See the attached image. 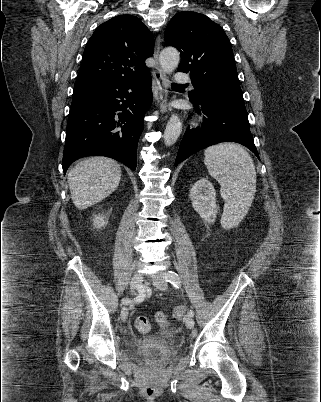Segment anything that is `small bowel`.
<instances>
[{
	"label": "small bowel",
	"instance_id": "obj_1",
	"mask_svg": "<svg viewBox=\"0 0 321 402\" xmlns=\"http://www.w3.org/2000/svg\"><path fill=\"white\" fill-rule=\"evenodd\" d=\"M158 315H164V314H163L162 312L157 313V320H158L159 324L161 325V327H162L163 330H164L163 334H164L165 336L169 337L171 333H170V331L168 330V322H167L166 319H165V320H159V319H158Z\"/></svg>",
	"mask_w": 321,
	"mask_h": 402
}]
</instances>
